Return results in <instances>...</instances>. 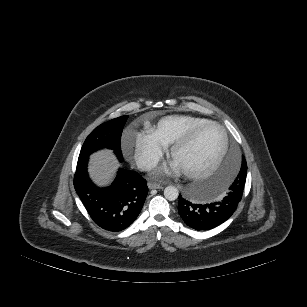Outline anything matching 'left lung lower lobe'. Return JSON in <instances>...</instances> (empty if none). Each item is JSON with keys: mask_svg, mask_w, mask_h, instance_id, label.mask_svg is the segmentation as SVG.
<instances>
[{"mask_svg": "<svg viewBox=\"0 0 307 307\" xmlns=\"http://www.w3.org/2000/svg\"><path fill=\"white\" fill-rule=\"evenodd\" d=\"M241 198L242 193L236 188L230 190L222 200L207 204L195 203L179 195L178 211L189 227L198 231L210 230L232 216Z\"/></svg>", "mask_w": 307, "mask_h": 307, "instance_id": "left-lung-lower-lobe-1", "label": "left lung lower lobe"}]
</instances>
